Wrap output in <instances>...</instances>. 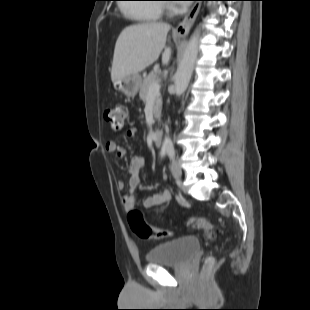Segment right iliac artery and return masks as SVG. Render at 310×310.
Returning a JSON list of instances; mask_svg holds the SVG:
<instances>
[{
  "mask_svg": "<svg viewBox=\"0 0 310 310\" xmlns=\"http://www.w3.org/2000/svg\"><path fill=\"white\" fill-rule=\"evenodd\" d=\"M165 154H166V150H165V149H162L161 152H160L161 157H164Z\"/></svg>",
  "mask_w": 310,
  "mask_h": 310,
  "instance_id": "obj_1",
  "label": "right iliac artery"
}]
</instances>
